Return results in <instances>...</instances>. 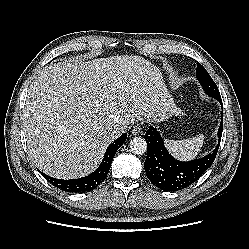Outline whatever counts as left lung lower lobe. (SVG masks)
Here are the masks:
<instances>
[{
  "label": "left lung lower lobe",
  "instance_id": "left-lung-lower-lobe-1",
  "mask_svg": "<svg viewBox=\"0 0 249 249\" xmlns=\"http://www.w3.org/2000/svg\"><path fill=\"white\" fill-rule=\"evenodd\" d=\"M217 100L222 105L221 98ZM222 130L223 116L218 129L219 144L213 152L201 159L181 162L168 153L159 132L155 128L150 127L145 135L148 145L147 158L144 162L147 178L152 184L164 191L174 192L188 187L198 180L214 162L220 145Z\"/></svg>",
  "mask_w": 249,
  "mask_h": 249
}]
</instances>
